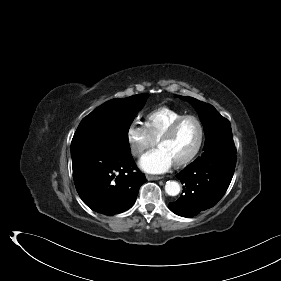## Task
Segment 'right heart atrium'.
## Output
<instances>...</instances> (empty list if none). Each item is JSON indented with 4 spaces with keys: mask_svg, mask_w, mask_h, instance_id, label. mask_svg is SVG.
Listing matches in <instances>:
<instances>
[{
    "mask_svg": "<svg viewBox=\"0 0 281 281\" xmlns=\"http://www.w3.org/2000/svg\"><path fill=\"white\" fill-rule=\"evenodd\" d=\"M127 141L131 153L136 156H142L147 150L156 145L148 130L144 125L138 122H132L127 129Z\"/></svg>",
    "mask_w": 281,
    "mask_h": 281,
    "instance_id": "1",
    "label": "right heart atrium"
}]
</instances>
